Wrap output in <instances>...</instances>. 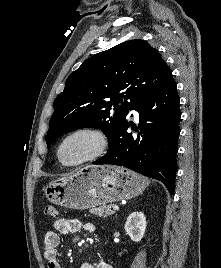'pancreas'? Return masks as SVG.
Returning <instances> with one entry per match:
<instances>
[{"label":"pancreas","mask_w":221,"mask_h":268,"mask_svg":"<svg viewBox=\"0 0 221 268\" xmlns=\"http://www.w3.org/2000/svg\"><path fill=\"white\" fill-rule=\"evenodd\" d=\"M111 208L112 205H102L98 208H91L89 212L94 215H98L99 217L106 218L107 216L114 214V211L111 210Z\"/></svg>","instance_id":"pancreas-1"}]
</instances>
